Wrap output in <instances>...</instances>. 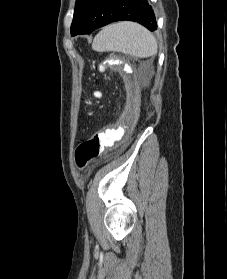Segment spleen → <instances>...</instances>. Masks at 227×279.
I'll return each mask as SVG.
<instances>
[{
  "label": "spleen",
  "instance_id": "3e777b00",
  "mask_svg": "<svg viewBox=\"0 0 227 279\" xmlns=\"http://www.w3.org/2000/svg\"><path fill=\"white\" fill-rule=\"evenodd\" d=\"M93 50L115 51L147 58L157 53V41L152 33L133 22H118L106 26L94 38Z\"/></svg>",
  "mask_w": 227,
  "mask_h": 279
}]
</instances>
